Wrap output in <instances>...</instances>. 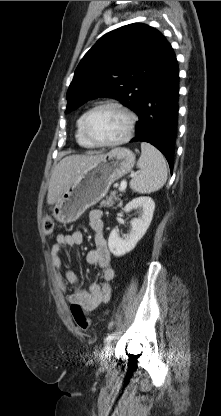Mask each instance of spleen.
Segmentation results:
<instances>
[{"label": "spleen", "mask_w": 221, "mask_h": 416, "mask_svg": "<svg viewBox=\"0 0 221 416\" xmlns=\"http://www.w3.org/2000/svg\"><path fill=\"white\" fill-rule=\"evenodd\" d=\"M140 172L130 181V188L147 194L163 187L167 180V165L163 154L149 143H141V156L137 162Z\"/></svg>", "instance_id": "1"}]
</instances>
